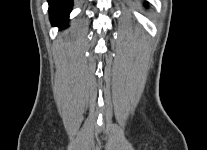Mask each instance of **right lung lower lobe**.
<instances>
[{"mask_svg":"<svg viewBox=\"0 0 207 150\" xmlns=\"http://www.w3.org/2000/svg\"><path fill=\"white\" fill-rule=\"evenodd\" d=\"M48 3L52 25L60 28L65 27L72 10V0H48Z\"/></svg>","mask_w":207,"mask_h":150,"instance_id":"right-lung-lower-lobe-1","label":"right lung lower lobe"}]
</instances>
